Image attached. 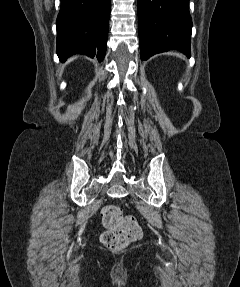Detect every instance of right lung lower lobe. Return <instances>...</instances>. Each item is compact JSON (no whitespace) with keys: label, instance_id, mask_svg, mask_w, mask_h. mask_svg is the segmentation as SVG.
<instances>
[{"label":"right lung lower lobe","instance_id":"obj_1","mask_svg":"<svg viewBox=\"0 0 240 287\" xmlns=\"http://www.w3.org/2000/svg\"><path fill=\"white\" fill-rule=\"evenodd\" d=\"M110 0H61L57 17V54L64 62L73 54L102 61L106 52Z\"/></svg>","mask_w":240,"mask_h":287}]
</instances>
